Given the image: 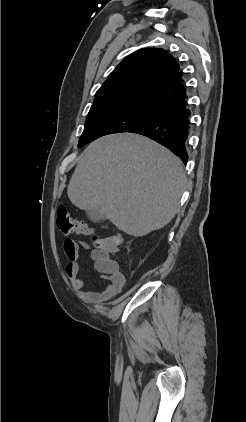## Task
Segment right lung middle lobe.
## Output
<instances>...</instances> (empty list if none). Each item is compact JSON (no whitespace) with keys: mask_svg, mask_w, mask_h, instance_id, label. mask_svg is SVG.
Wrapping results in <instances>:
<instances>
[{"mask_svg":"<svg viewBox=\"0 0 246 422\" xmlns=\"http://www.w3.org/2000/svg\"><path fill=\"white\" fill-rule=\"evenodd\" d=\"M159 115V107L139 104H105L91 107L79 139L81 147L113 133L129 132Z\"/></svg>","mask_w":246,"mask_h":422,"instance_id":"dd1d6c3e","label":"right lung middle lobe"}]
</instances>
